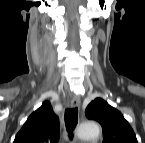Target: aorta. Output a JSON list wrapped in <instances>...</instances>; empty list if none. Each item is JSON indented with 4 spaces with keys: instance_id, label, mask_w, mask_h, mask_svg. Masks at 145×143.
Here are the masks:
<instances>
[{
    "instance_id": "aorta-1",
    "label": "aorta",
    "mask_w": 145,
    "mask_h": 143,
    "mask_svg": "<svg viewBox=\"0 0 145 143\" xmlns=\"http://www.w3.org/2000/svg\"><path fill=\"white\" fill-rule=\"evenodd\" d=\"M100 135V127L93 121L83 122L78 130V137L82 140L95 139Z\"/></svg>"
}]
</instances>
